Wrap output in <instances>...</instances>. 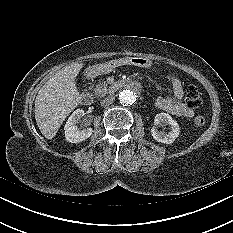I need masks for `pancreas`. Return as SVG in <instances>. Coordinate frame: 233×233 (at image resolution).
<instances>
[{
	"mask_svg": "<svg viewBox=\"0 0 233 233\" xmlns=\"http://www.w3.org/2000/svg\"><path fill=\"white\" fill-rule=\"evenodd\" d=\"M112 87L108 86V83L106 81H100L98 84H96L95 88L93 89L94 95L97 98H102L108 93H112Z\"/></svg>",
	"mask_w": 233,
	"mask_h": 233,
	"instance_id": "pancreas-1",
	"label": "pancreas"
}]
</instances>
